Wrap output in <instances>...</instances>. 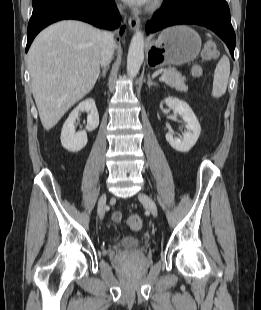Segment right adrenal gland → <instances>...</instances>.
<instances>
[{"label": "right adrenal gland", "instance_id": "obj_1", "mask_svg": "<svg viewBox=\"0 0 261 310\" xmlns=\"http://www.w3.org/2000/svg\"><path fill=\"white\" fill-rule=\"evenodd\" d=\"M107 71H108V67H104L103 70H102V74L98 75V78L100 79L101 76H103L105 78Z\"/></svg>", "mask_w": 261, "mask_h": 310}]
</instances>
